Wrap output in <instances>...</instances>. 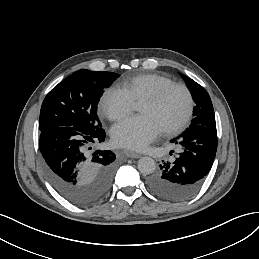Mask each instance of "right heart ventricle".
I'll return each mask as SVG.
<instances>
[{"mask_svg": "<svg viewBox=\"0 0 259 259\" xmlns=\"http://www.w3.org/2000/svg\"><path fill=\"white\" fill-rule=\"evenodd\" d=\"M173 80L163 74L143 73L125 75L115 89L130 99L133 104H140L145 98L156 94L163 86Z\"/></svg>", "mask_w": 259, "mask_h": 259, "instance_id": "right-heart-ventricle-1", "label": "right heart ventricle"}]
</instances>
